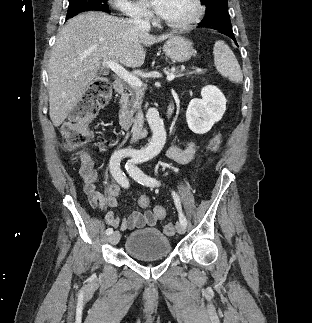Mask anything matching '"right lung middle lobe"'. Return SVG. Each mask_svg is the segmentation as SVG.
Wrapping results in <instances>:
<instances>
[{"label": "right lung middle lobe", "mask_w": 312, "mask_h": 323, "mask_svg": "<svg viewBox=\"0 0 312 323\" xmlns=\"http://www.w3.org/2000/svg\"><path fill=\"white\" fill-rule=\"evenodd\" d=\"M90 10L110 12L107 0H69L66 19H70L78 13Z\"/></svg>", "instance_id": "1"}]
</instances>
